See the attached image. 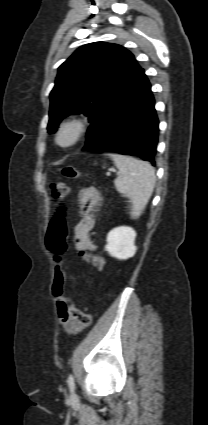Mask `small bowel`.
Segmentation results:
<instances>
[{"label":"small bowel","mask_w":208,"mask_h":425,"mask_svg":"<svg viewBox=\"0 0 208 425\" xmlns=\"http://www.w3.org/2000/svg\"><path fill=\"white\" fill-rule=\"evenodd\" d=\"M83 217L76 226L75 245L77 248L94 250L95 245L91 241L90 231L94 225V211L99 204L100 194L97 189L88 187L83 189L79 195ZM57 314L60 324L69 333H77L82 329L71 318L68 312V303L64 298L56 299Z\"/></svg>","instance_id":"c3829d8e"}]
</instances>
